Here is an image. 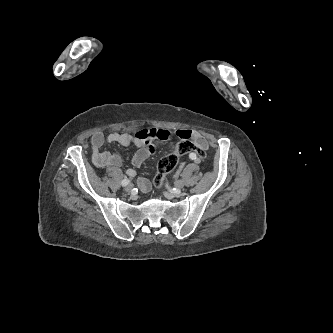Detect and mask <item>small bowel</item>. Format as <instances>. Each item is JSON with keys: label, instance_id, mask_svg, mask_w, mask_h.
<instances>
[{"label": "small bowel", "instance_id": "c3829d8e", "mask_svg": "<svg viewBox=\"0 0 333 333\" xmlns=\"http://www.w3.org/2000/svg\"><path fill=\"white\" fill-rule=\"evenodd\" d=\"M172 136L179 139H192L203 149L208 146V140L205 136L198 131L190 129H179L172 132L168 130L142 129L135 134L113 132L107 137H105L102 132H95L91 136L92 162L97 168L115 169L120 165L121 159L117 153L103 151L101 149L105 141H108L110 143H118L122 146L134 145L137 150L133 155L131 162L134 167H140L149 156L155 152L156 140H167ZM189 159L197 162V156L194 153L189 155ZM126 174L133 177L136 172L134 169H128ZM140 188L143 192H148L151 189V186L148 181L144 180L140 183Z\"/></svg>", "mask_w": 333, "mask_h": 333}]
</instances>
